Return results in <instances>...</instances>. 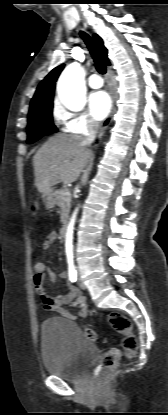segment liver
I'll return each mask as SVG.
<instances>
[{
    "label": "liver",
    "mask_w": 168,
    "mask_h": 415,
    "mask_svg": "<svg viewBox=\"0 0 168 415\" xmlns=\"http://www.w3.org/2000/svg\"><path fill=\"white\" fill-rule=\"evenodd\" d=\"M93 158L79 135L58 134L48 139L33 157L35 186L40 193L60 182L69 184Z\"/></svg>",
    "instance_id": "obj_1"
}]
</instances>
